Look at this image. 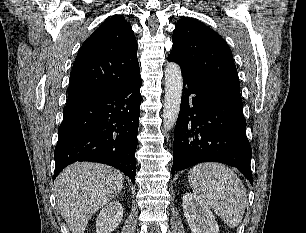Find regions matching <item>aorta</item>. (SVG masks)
<instances>
[{"mask_svg": "<svg viewBox=\"0 0 306 233\" xmlns=\"http://www.w3.org/2000/svg\"><path fill=\"white\" fill-rule=\"evenodd\" d=\"M183 79L180 66L170 62L165 68V101L163 109V126L170 131L178 118L180 111Z\"/></svg>", "mask_w": 306, "mask_h": 233, "instance_id": "1", "label": "aorta"}]
</instances>
